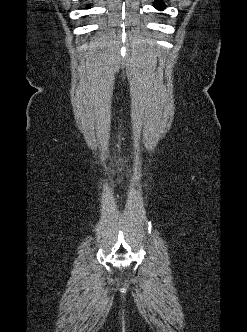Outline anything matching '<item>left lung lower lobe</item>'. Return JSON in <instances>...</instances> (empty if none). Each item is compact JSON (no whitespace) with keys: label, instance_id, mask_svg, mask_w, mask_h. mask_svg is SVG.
I'll use <instances>...</instances> for the list:
<instances>
[{"label":"left lung lower lobe","instance_id":"left-lung-lower-lobe-1","mask_svg":"<svg viewBox=\"0 0 247 332\" xmlns=\"http://www.w3.org/2000/svg\"><path fill=\"white\" fill-rule=\"evenodd\" d=\"M154 6L158 9V10H163L165 8V4L163 3L162 0H156L154 3Z\"/></svg>","mask_w":247,"mask_h":332}]
</instances>
